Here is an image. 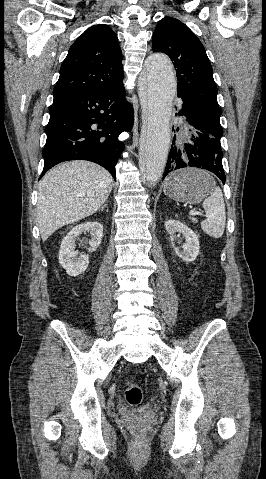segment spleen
<instances>
[{
	"label": "spleen",
	"mask_w": 266,
	"mask_h": 479,
	"mask_svg": "<svg viewBox=\"0 0 266 479\" xmlns=\"http://www.w3.org/2000/svg\"><path fill=\"white\" fill-rule=\"evenodd\" d=\"M203 208L207 218L201 222V228L204 233L212 238L222 237L225 230L226 211L222 190L214 187L210 196L203 202Z\"/></svg>",
	"instance_id": "3e777b00"
}]
</instances>
